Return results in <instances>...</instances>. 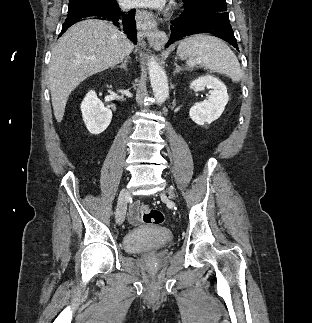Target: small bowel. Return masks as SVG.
I'll return each mask as SVG.
<instances>
[{"instance_id":"1","label":"small bowel","mask_w":312,"mask_h":323,"mask_svg":"<svg viewBox=\"0 0 312 323\" xmlns=\"http://www.w3.org/2000/svg\"><path fill=\"white\" fill-rule=\"evenodd\" d=\"M129 222L132 225H139L141 222V217H140V213H139V205L137 201H134L131 205H130V209H129Z\"/></svg>"}]
</instances>
